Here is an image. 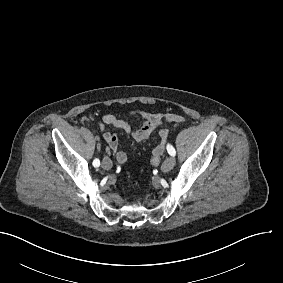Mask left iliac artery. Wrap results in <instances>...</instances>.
<instances>
[{
  "instance_id": "left-iliac-artery-1",
  "label": "left iliac artery",
  "mask_w": 283,
  "mask_h": 283,
  "mask_svg": "<svg viewBox=\"0 0 283 283\" xmlns=\"http://www.w3.org/2000/svg\"><path fill=\"white\" fill-rule=\"evenodd\" d=\"M167 151H168V153H169L171 156H175V154H176L175 149H174L173 146L170 145V144L167 145Z\"/></svg>"
}]
</instances>
